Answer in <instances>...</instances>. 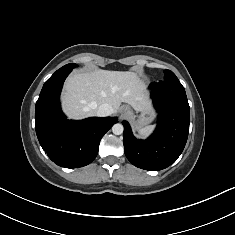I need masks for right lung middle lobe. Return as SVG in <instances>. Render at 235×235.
I'll return each mask as SVG.
<instances>
[{
  "instance_id": "dd1d6c3e",
  "label": "right lung middle lobe",
  "mask_w": 235,
  "mask_h": 235,
  "mask_svg": "<svg viewBox=\"0 0 235 235\" xmlns=\"http://www.w3.org/2000/svg\"><path fill=\"white\" fill-rule=\"evenodd\" d=\"M76 66H77L76 64H67V65L61 67L59 70L72 69Z\"/></svg>"
}]
</instances>
